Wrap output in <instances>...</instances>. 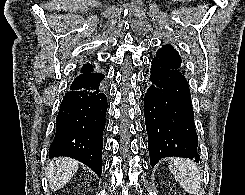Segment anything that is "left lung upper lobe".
<instances>
[{
    "instance_id": "left-lung-upper-lobe-1",
    "label": "left lung upper lobe",
    "mask_w": 245,
    "mask_h": 195,
    "mask_svg": "<svg viewBox=\"0 0 245 195\" xmlns=\"http://www.w3.org/2000/svg\"><path fill=\"white\" fill-rule=\"evenodd\" d=\"M156 57L174 64L176 68L181 67V57L171 45H165L163 48H161L156 53Z\"/></svg>"
}]
</instances>
